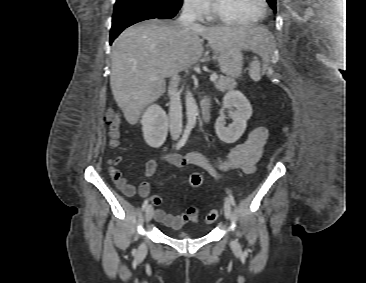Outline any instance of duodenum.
I'll return each mask as SVG.
<instances>
[{
  "label": "duodenum",
  "mask_w": 366,
  "mask_h": 283,
  "mask_svg": "<svg viewBox=\"0 0 366 283\" xmlns=\"http://www.w3.org/2000/svg\"><path fill=\"white\" fill-rule=\"evenodd\" d=\"M211 115V102L207 99L202 103L201 106V121L202 124H206Z\"/></svg>",
  "instance_id": "410a0bca"
}]
</instances>
